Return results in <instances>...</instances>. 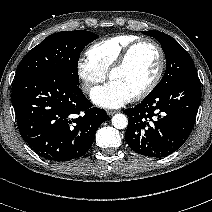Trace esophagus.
I'll use <instances>...</instances> for the list:
<instances>
[{
	"instance_id": "obj_1",
	"label": "esophagus",
	"mask_w": 212,
	"mask_h": 212,
	"mask_svg": "<svg viewBox=\"0 0 212 212\" xmlns=\"http://www.w3.org/2000/svg\"><path fill=\"white\" fill-rule=\"evenodd\" d=\"M116 113L115 110H107L108 115H114Z\"/></svg>"
}]
</instances>
